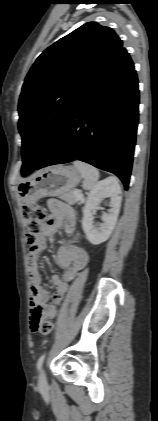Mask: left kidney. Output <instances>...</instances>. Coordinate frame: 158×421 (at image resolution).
<instances>
[{"instance_id": "1", "label": "left kidney", "mask_w": 158, "mask_h": 421, "mask_svg": "<svg viewBox=\"0 0 158 421\" xmlns=\"http://www.w3.org/2000/svg\"><path fill=\"white\" fill-rule=\"evenodd\" d=\"M106 197H110V209L108 214L102 216L101 227L95 228L93 226V211ZM121 200V188L118 180L114 177H108L98 182L90 191L83 210L82 227L91 244L99 245L108 240L117 222Z\"/></svg>"}]
</instances>
